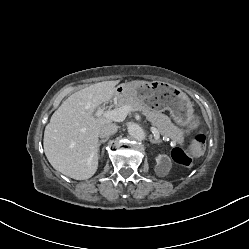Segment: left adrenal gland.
I'll return each instance as SVG.
<instances>
[{
  "mask_svg": "<svg viewBox=\"0 0 249 249\" xmlns=\"http://www.w3.org/2000/svg\"><path fill=\"white\" fill-rule=\"evenodd\" d=\"M149 140L152 144H160L162 141L158 139H154L152 135L149 136Z\"/></svg>",
  "mask_w": 249,
  "mask_h": 249,
  "instance_id": "1",
  "label": "left adrenal gland"
}]
</instances>
